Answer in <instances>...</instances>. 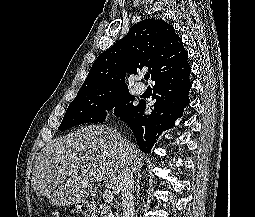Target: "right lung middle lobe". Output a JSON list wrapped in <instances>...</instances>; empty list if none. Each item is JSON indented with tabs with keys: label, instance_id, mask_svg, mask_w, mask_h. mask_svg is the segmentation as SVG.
I'll return each instance as SVG.
<instances>
[{
	"label": "right lung middle lobe",
	"instance_id": "obj_1",
	"mask_svg": "<svg viewBox=\"0 0 255 217\" xmlns=\"http://www.w3.org/2000/svg\"><path fill=\"white\" fill-rule=\"evenodd\" d=\"M134 100L127 87L78 93L69 105L58 129L67 130L83 123L103 122L107 115L106 110L113 108L116 116H125L135 108Z\"/></svg>",
	"mask_w": 255,
	"mask_h": 217
}]
</instances>
